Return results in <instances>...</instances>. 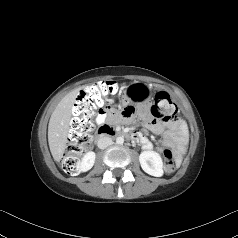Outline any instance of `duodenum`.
I'll use <instances>...</instances> for the list:
<instances>
[{"mask_svg": "<svg viewBox=\"0 0 238 238\" xmlns=\"http://www.w3.org/2000/svg\"><path fill=\"white\" fill-rule=\"evenodd\" d=\"M97 135L100 138L103 137H114V136H123L128 139L137 141L138 137L135 133H128L123 131H115L113 128L109 127L108 125H101L97 129Z\"/></svg>", "mask_w": 238, "mask_h": 238, "instance_id": "obj_1", "label": "duodenum"}]
</instances>
